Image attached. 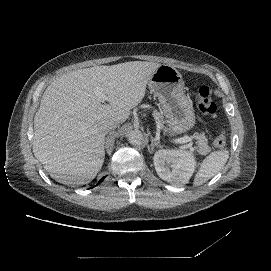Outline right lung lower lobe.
<instances>
[{"mask_svg":"<svg viewBox=\"0 0 271 271\" xmlns=\"http://www.w3.org/2000/svg\"><path fill=\"white\" fill-rule=\"evenodd\" d=\"M104 178H105V177H103V178L98 182V184L101 183V182L103 181ZM98 184H97V185H98Z\"/></svg>","mask_w":271,"mask_h":271,"instance_id":"obj_1","label":"right lung lower lobe"}]
</instances>
